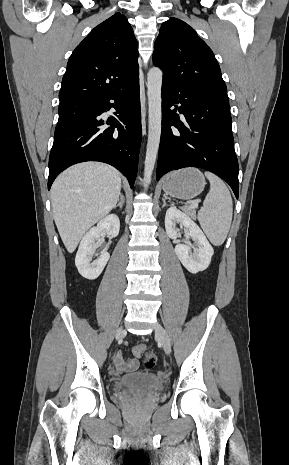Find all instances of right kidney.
I'll list each match as a JSON object with an SVG mask.
<instances>
[{"instance_id":"obj_1","label":"right kidney","mask_w":289,"mask_h":465,"mask_svg":"<svg viewBox=\"0 0 289 465\" xmlns=\"http://www.w3.org/2000/svg\"><path fill=\"white\" fill-rule=\"evenodd\" d=\"M120 230V220L117 215L110 214L100 220L96 227L91 228L82 238L76 258L75 265L80 275L86 279L94 280L99 277L106 266L110 255L102 251L99 258L92 261L94 250L97 248V240L102 232L116 237Z\"/></svg>"}]
</instances>
